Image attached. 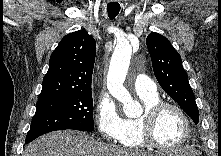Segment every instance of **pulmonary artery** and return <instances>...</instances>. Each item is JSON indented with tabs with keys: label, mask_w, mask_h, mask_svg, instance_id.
<instances>
[{
	"label": "pulmonary artery",
	"mask_w": 221,
	"mask_h": 156,
	"mask_svg": "<svg viewBox=\"0 0 221 156\" xmlns=\"http://www.w3.org/2000/svg\"><path fill=\"white\" fill-rule=\"evenodd\" d=\"M134 89L138 95L153 96L157 94L156 84L144 74H139L136 77Z\"/></svg>",
	"instance_id": "1"
}]
</instances>
